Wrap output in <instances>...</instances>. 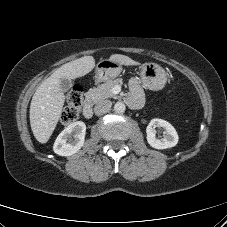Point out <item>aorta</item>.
Segmentation results:
<instances>
[{"instance_id":"762f6f07","label":"aorta","mask_w":227,"mask_h":227,"mask_svg":"<svg viewBox=\"0 0 227 227\" xmlns=\"http://www.w3.org/2000/svg\"><path fill=\"white\" fill-rule=\"evenodd\" d=\"M126 109V106L123 102H117L114 105V110L116 113H124Z\"/></svg>"}]
</instances>
